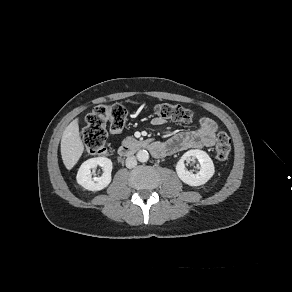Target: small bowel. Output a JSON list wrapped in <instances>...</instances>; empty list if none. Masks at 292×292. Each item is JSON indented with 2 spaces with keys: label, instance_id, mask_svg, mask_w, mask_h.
<instances>
[{
  "label": "small bowel",
  "instance_id": "c3829d8e",
  "mask_svg": "<svg viewBox=\"0 0 292 292\" xmlns=\"http://www.w3.org/2000/svg\"><path fill=\"white\" fill-rule=\"evenodd\" d=\"M151 123L159 126L164 123V119L156 116ZM216 129L217 124L214 120L201 117L196 129L178 133L167 141L154 143L153 153L156 156H164L187 149L211 147L215 144Z\"/></svg>",
  "mask_w": 292,
  "mask_h": 292
}]
</instances>
